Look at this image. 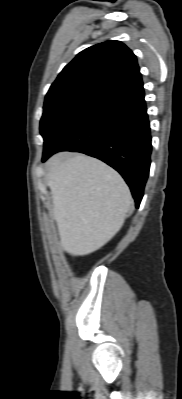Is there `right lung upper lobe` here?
Wrapping results in <instances>:
<instances>
[{"label": "right lung upper lobe", "instance_id": "obj_1", "mask_svg": "<svg viewBox=\"0 0 182 399\" xmlns=\"http://www.w3.org/2000/svg\"><path fill=\"white\" fill-rule=\"evenodd\" d=\"M143 86L136 56L110 40L80 52L51 85L45 99L87 94L107 100Z\"/></svg>", "mask_w": 182, "mask_h": 399}]
</instances>
